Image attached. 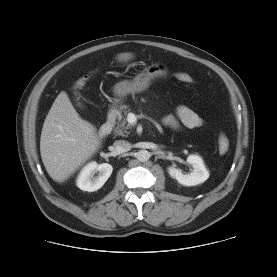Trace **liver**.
<instances>
[{
  "mask_svg": "<svg viewBox=\"0 0 277 277\" xmlns=\"http://www.w3.org/2000/svg\"><path fill=\"white\" fill-rule=\"evenodd\" d=\"M118 61L133 58L131 53L118 54ZM97 129L82 119L67 93L58 94L47 114L40 138L44 167L56 182L67 180L101 147Z\"/></svg>",
  "mask_w": 277,
  "mask_h": 277,
  "instance_id": "1",
  "label": "liver"
}]
</instances>
